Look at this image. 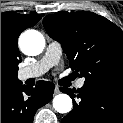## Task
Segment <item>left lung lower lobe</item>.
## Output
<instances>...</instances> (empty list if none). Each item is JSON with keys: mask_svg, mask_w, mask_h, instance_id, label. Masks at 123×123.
I'll return each mask as SVG.
<instances>
[{"mask_svg": "<svg viewBox=\"0 0 123 123\" xmlns=\"http://www.w3.org/2000/svg\"><path fill=\"white\" fill-rule=\"evenodd\" d=\"M60 90L69 94L74 104L61 123L123 122V89L84 83L78 90Z\"/></svg>", "mask_w": 123, "mask_h": 123, "instance_id": "left-lung-lower-lobe-1", "label": "left lung lower lobe"}]
</instances>
